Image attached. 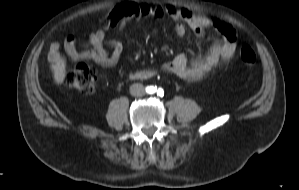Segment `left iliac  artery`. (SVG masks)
I'll return each mask as SVG.
<instances>
[{
	"label": "left iliac artery",
	"mask_w": 299,
	"mask_h": 190,
	"mask_svg": "<svg viewBox=\"0 0 299 190\" xmlns=\"http://www.w3.org/2000/svg\"><path fill=\"white\" fill-rule=\"evenodd\" d=\"M161 93H162V89H159L157 94H161Z\"/></svg>",
	"instance_id": "obj_1"
}]
</instances>
